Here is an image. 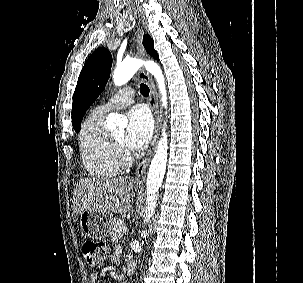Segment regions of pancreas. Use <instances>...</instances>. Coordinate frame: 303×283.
Instances as JSON below:
<instances>
[{
	"label": "pancreas",
	"instance_id": "cf45deb5",
	"mask_svg": "<svg viewBox=\"0 0 303 283\" xmlns=\"http://www.w3.org/2000/svg\"><path fill=\"white\" fill-rule=\"evenodd\" d=\"M120 223H121V220L118 218L114 219L112 222V230L110 232V238L113 242H117L124 235V233H123L124 226Z\"/></svg>",
	"mask_w": 303,
	"mask_h": 283
}]
</instances>
